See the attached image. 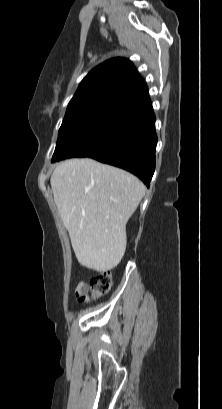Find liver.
Here are the masks:
<instances>
[{
  "label": "liver",
  "mask_w": 222,
  "mask_h": 409,
  "mask_svg": "<svg viewBox=\"0 0 222 409\" xmlns=\"http://www.w3.org/2000/svg\"><path fill=\"white\" fill-rule=\"evenodd\" d=\"M54 201L78 262L105 272L126 249V224L145 194L134 175L90 158L60 163L50 179Z\"/></svg>",
  "instance_id": "1"
}]
</instances>
